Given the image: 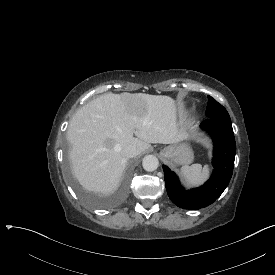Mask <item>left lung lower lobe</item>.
I'll return each mask as SVG.
<instances>
[{
  "label": "left lung lower lobe",
  "mask_w": 275,
  "mask_h": 275,
  "mask_svg": "<svg viewBox=\"0 0 275 275\" xmlns=\"http://www.w3.org/2000/svg\"><path fill=\"white\" fill-rule=\"evenodd\" d=\"M214 142L211 178L201 187L185 190L177 175L163 165L165 186L171 201L182 209L197 210L209 206L223 193L232 176L236 143L231 121L207 118L201 123Z\"/></svg>",
  "instance_id": "left-lung-lower-lobe-1"
}]
</instances>
